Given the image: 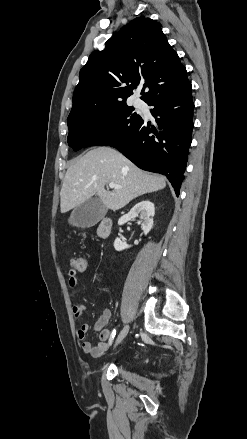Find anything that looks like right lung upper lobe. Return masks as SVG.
Listing matches in <instances>:
<instances>
[{
  "mask_svg": "<svg viewBox=\"0 0 247 439\" xmlns=\"http://www.w3.org/2000/svg\"><path fill=\"white\" fill-rule=\"evenodd\" d=\"M140 83L149 88L141 92L145 102L190 83L160 24L145 17L132 20L106 42L104 50L90 54L80 70L69 117L126 101Z\"/></svg>",
  "mask_w": 247,
  "mask_h": 439,
  "instance_id": "cb5924a9",
  "label": "right lung upper lobe"
}]
</instances>
